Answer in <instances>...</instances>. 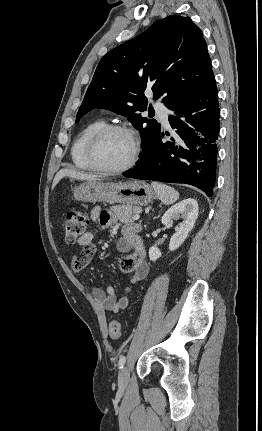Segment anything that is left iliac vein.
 Wrapping results in <instances>:
<instances>
[{"instance_id": "1", "label": "left iliac vein", "mask_w": 262, "mask_h": 431, "mask_svg": "<svg viewBox=\"0 0 262 431\" xmlns=\"http://www.w3.org/2000/svg\"><path fill=\"white\" fill-rule=\"evenodd\" d=\"M128 368L127 367H123L118 375V384L121 388H125L127 386L128 383Z\"/></svg>"}]
</instances>
